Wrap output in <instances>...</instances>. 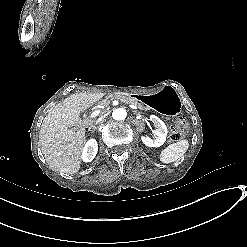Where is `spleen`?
Instances as JSON below:
<instances>
[{
    "mask_svg": "<svg viewBox=\"0 0 247 247\" xmlns=\"http://www.w3.org/2000/svg\"><path fill=\"white\" fill-rule=\"evenodd\" d=\"M189 148L188 140H180L176 143L168 145L160 154V161L168 164L178 160L183 156Z\"/></svg>",
    "mask_w": 247,
    "mask_h": 247,
    "instance_id": "obj_1",
    "label": "spleen"
}]
</instances>
